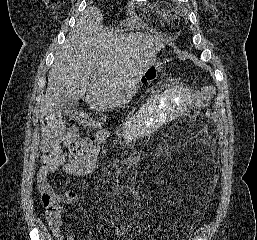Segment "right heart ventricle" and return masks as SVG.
Instances as JSON below:
<instances>
[{
    "mask_svg": "<svg viewBox=\"0 0 257 240\" xmlns=\"http://www.w3.org/2000/svg\"><path fill=\"white\" fill-rule=\"evenodd\" d=\"M163 16L166 18L168 16V11H164Z\"/></svg>",
    "mask_w": 257,
    "mask_h": 240,
    "instance_id": "e07e8e85",
    "label": "right heart ventricle"
}]
</instances>
